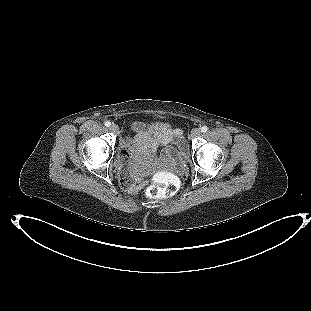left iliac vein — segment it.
I'll return each mask as SVG.
<instances>
[{
  "label": "left iliac vein",
  "mask_w": 311,
  "mask_h": 311,
  "mask_svg": "<svg viewBox=\"0 0 311 311\" xmlns=\"http://www.w3.org/2000/svg\"><path fill=\"white\" fill-rule=\"evenodd\" d=\"M200 134H201V130H200L199 128H194V129L191 131V136H192L193 138L200 136Z\"/></svg>",
  "instance_id": "1"
}]
</instances>
